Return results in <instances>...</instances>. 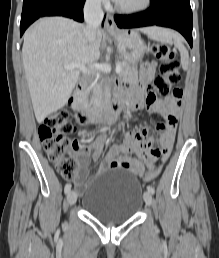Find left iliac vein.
<instances>
[{
  "instance_id": "left-iliac-vein-1",
  "label": "left iliac vein",
  "mask_w": 219,
  "mask_h": 258,
  "mask_svg": "<svg viewBox=\"0 0 219 258\" xmlns=\"http://www.w3.org/2000/svg\"><path fill=\"white\" fill-rule=\"evenodd\" d=\"M143 198H144L146 205L151 206L152 201H153L152 194L150 192L146 191L143 195Z\"/></svg>"
}]
</instances>
